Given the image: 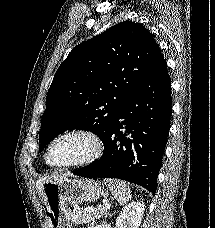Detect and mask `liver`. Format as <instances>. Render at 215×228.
Masks as SVG:
<instances>
[{
	"mask_svg": "<svg viewBox=\"0 0 215 228\" xmlns=\"http://www.w3.org/2000/svg\"><path fill=\"white\" fill-rule=\"evenodd\" d=\"M59 178H65V176H45V178H40V180H38L37 184H36V190L43 202L44 200V190H43V186L45 184V182H52V180H59ZM44 204V202H43Z\"/></svg>",
	"mask_w": 215,
	"mask_h": 228,
	"instance_id": "6515ba94",
	"label": "liver"
}]
</instances>
